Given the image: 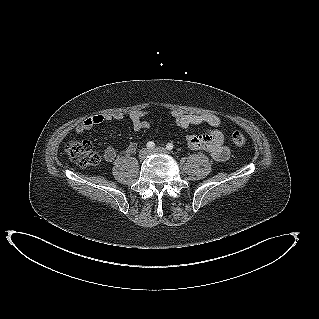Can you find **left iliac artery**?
<instances>
[{
  "label": "left iliac artery",
  "mask_w": 319,
  "mask_h": 319,
  "mask_svg": "<svg viewBox=\"0 0 319 319\" xmlns=\"http://www.w3.org/2000/svg\"><path fill=\"white\" fill-rule=\"evenodd\" d=\"M167 150H172L173 149V144L172 143H168L166 145Z\"/></svg>",
  "instance_id": "left-iliac-artery-1"
}]
</instances>
